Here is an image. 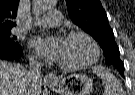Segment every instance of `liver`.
I'll return each mask as SVG.
<instances>
[{"mask_svg":"<svg viewBox=\"0 0 135 95\" xmlns=\"http://www.w3.org/2000/svg\"><path fill=\"white\" fill-rule=\"evenodd\" d=\"M26 70L22 65L0 60V95H41V75L29 81Z\"/></svg>","mask_w":135,"mask_h":95,"instance_id":"liver-1","label":"liver"}]
</instances>
